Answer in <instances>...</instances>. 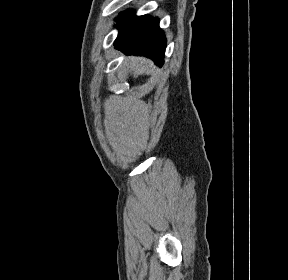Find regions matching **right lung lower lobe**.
Masks as SVG:
<instances>
[{"mask_svg": "<svg viewBox=\"0 0 288 280\" xmlns=\"http://www.w3.org/2000/svg\"><path fill=\"white\" fill-rule=\"evenodd\" d=\"M119 34L115 48L126 54L145 56L162 66L166 37L159 27L158 18L149 15L137 17L133 10L121 13L117 19Z\"/></svg>", "mask_w": 288, "mask_h": 280, "instance_id": "right-lung-lower-lobe-1", "label": "right lung lower lobe"}]
</instances>
